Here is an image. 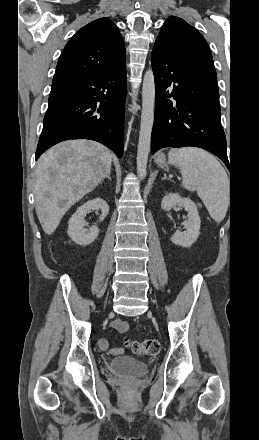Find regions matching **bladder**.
<instances>
[{
	"label": "bladder",
	"instance_id": "obj_1",
	"mask_svg": "<svg viewBox=\"0 0 259 440\" xmlns=\"http://www.w3.org/2000/svg\"><path fill=\"white\" fill-rule=\"evenodd\" d=\"M148 364L131 356H118L108 364V370L115 375L141 376L148 372Z\"/></svg>",
	"mask_w": 259,
	"mask_h": 440
}]
</instances>
